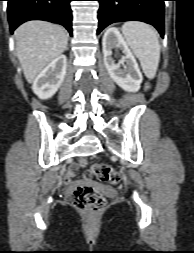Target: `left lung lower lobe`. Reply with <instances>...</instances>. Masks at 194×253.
Returning <instances> with one entry per match:
<instances>
[{"mask_svg":"<svg viewBox=\"0 0 194 253\" xmlns=\"http://www.w3.org/2000/svg\"><path fill=\"white\" fill-rule=\"evenodd\" d=\"M99 34L114 22L129 20L143 21L153 25L164 37V1L165 0H97Z\"/></svg>","mask_w":194,"mask_h":253,"instance_id":"0a47b994","label":"left lung lower lobe"}]
</instances>
